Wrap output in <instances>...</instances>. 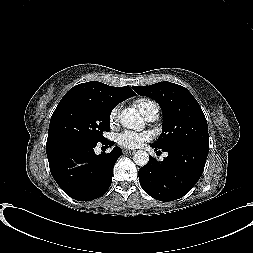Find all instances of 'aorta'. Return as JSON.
<instances>
[{
	"label": "aorta",
	"mask_w": 253,
	"mask_h": 253,
	"mask_svg": "<svg viewBox=\"0 0 253 253\" xmlns=\"http://www.w3.org/2000/svg\"><path fill=\"white\" fill-rule=\"evenodd\" d=\"M119 118L121 125L127 129L142 130L144 128V120L135 109H124ZM133 161L138 166H144L149 161V155L146 151L139 150L134 154Z\"/></svg>",
	"instance_id": "762f6f07"
}]
</instances>
